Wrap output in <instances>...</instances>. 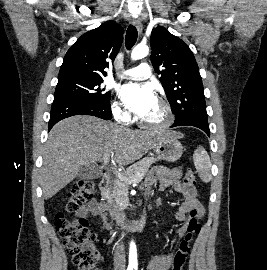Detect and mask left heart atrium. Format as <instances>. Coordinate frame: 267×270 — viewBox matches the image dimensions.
Here are the masks:
<instances>
[{"label": "left heart atrium", "instance_id": "1", "mask_svg": "<svg viewBox=\"0 0 267 270\" xmlns=\"http://www.w3.org/2000/svg\"><path fill=\"white\" fill-rule=\"evenodd\" d=\"M125 105L138 116H144L157 102L156 95L149 85L125 84L120 88Z\"/></svg>", "mask_w": 267, "mask_h": 270}]
</instances>
